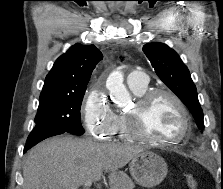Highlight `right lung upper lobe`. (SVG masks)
<instances>
[{
	"label": "right lung upper lobe",
	"instance_id": "1",
	"mask_svg": "<svg viewBox=\"0 0 223 189\" xmlns=\"http://www.w3.org/2000/svg\"><path fill=\"white\" fill-rule=\"evenodd\" d=\"M103 55L94 45L76 43L54 63L46 76L41 94L87 88L92 71Z\"/></svg>",
	"mask_w": 223,
	"mask_h": 189
}]
</instances>
